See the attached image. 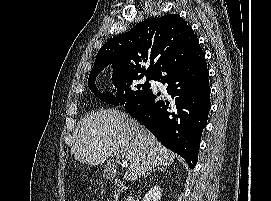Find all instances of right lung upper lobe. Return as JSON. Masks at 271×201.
Listing matches in <instances>:
<instances>
[{
  "mask_svg": "<svg viewBox=\"0 0 271 201\" xmlns=\"http://www.w3.org/2000/svg\"><path fill=\"white\" fill-rule=\"evenodd\" d=\"M189 35L196 39L191 26L177 14L140 22L101 47L89 77L98 75L108 63L113 74L154 75Z\"/></svg>",
  "mask_w": 271,
  "mask_h": 201,
  "instance_id": "obj_1",
  "label": "right lung upper lobe"
}]
</instances>
